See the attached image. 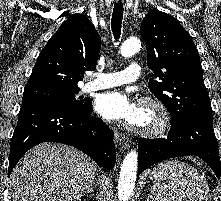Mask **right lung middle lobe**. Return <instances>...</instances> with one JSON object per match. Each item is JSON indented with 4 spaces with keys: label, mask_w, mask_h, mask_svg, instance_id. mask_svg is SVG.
Returning a JSON list of instances; mask_svg holds the SVG:
<instances>
[{
    "label": "right lung middle lobe",
    "mask_w": 221,
    "mask_h": 201,
    "mask_svg": "<svg viewBox=\"0 0 221 201\" xmlns=\"http://www.w3.org/2000/svg\"><path fill=\"white\" fill-rule=\"evenodd\" d=\"M79 88L65 89L56 87L25 88L22 103L29 101L47 102L73 109L84 110L89 107L91 100L76 99Z\"/></svg>",
    "instance_id": "obj_1"
}]
</instances>
